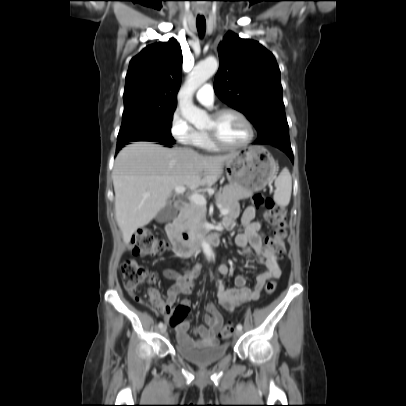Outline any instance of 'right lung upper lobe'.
Segmentation results:
<instances>
[{
  "label": "right lung upper lobe",
  "mask_w": 406,
  "mask_h": 406,
  "mask_svg": "<svg viewBox=\"0 0 406 406\" xmlns=\"http://www.w3.org/2000/svg\"><path fill=\"white\" fill-rule=\"evenodd\" d=\"M182 52L175 38L144 48L131 59L123 95L124 108L176 107Z\"/></svg>",
  "instance_id": "obj_1"
}]
</instances>
